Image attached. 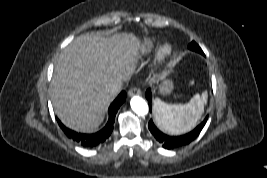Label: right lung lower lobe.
<instances>
[{
    "label": "right lung lower lobe",
    "mask_w": 267,
    "mask_h": 178,
    "mask_svg": "<svg viewBox=\"0 0 267 178\" xmlns=\"http://www.w3.org/2000/svg\"><path fill=\"white\" fill-rule=\"evenodd\" d=\"M126 99V92L122 91L118 97L113 101V103L109 107V119L107 121V124L103 129L100 131L94 133V134H83V133H77L73 130H70L69 128H66L59 120L58 123L64 133L73 141L81 144L84 147H94L98 144L104 142L111 134L113 130V124L115 121V116L122 105V103Z\"/></svg>",
    "instance_id": "98d812e1"
}]
</instances>
